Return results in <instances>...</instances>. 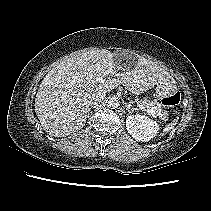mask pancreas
Listing matches in <instances>:
<instances>
[{"mask_svg": "<svg viewBox=\"0 0 211 211\" xmlns=\"http://www.w3.org/2000/svg\"><path fill=\"white\" fill-rule=\"evenodd\" d=\"M142 105L152 109L156 112V115L159 116L161 120L167 121L168 120V112L162 109V106L157 101H149L147 99L140 101Z\"/></svg>", "mask_w": 211, "mask_h": 211, "instance_id": "cf45deb5", "label": "pancreas"}]
</instances>
